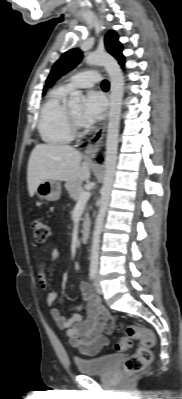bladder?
<instances>
[{
  "label": "bladder",
  "instance_id": "31cf9c89",
  "mask_svg": "<svg viewBox=\"0 0 182 399\" xmlns=\"http://www.w3.org/2000/svg\"><path fill=\"white\" fill-rule=\"evenodd\" d=\"M121 358V354H107L90 359L77 358L75 365L82 375H103L108 373L115 362Z\"/></svg>",
  "mask_w": 182,
  "mask_h": 399
}]
</instances>
